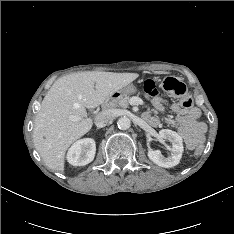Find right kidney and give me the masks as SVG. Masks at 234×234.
<instances>
[{
  "instance_id": "1",
  "label": "right kidney",
  "mask_w": 234,
  "mask_h": 234,
  "mask_svg": "<svg viewBox=\"0 0 234 234\" xmlns=\"http://www.w3.org/2000/svg\"><path fill=\"white\" fill-rule=\"evenodd\" d=\"M95 152V141L92 138H83L69 148L67 161L73 166H84L93 161Z\"/></svg>"
}]
</instances>
